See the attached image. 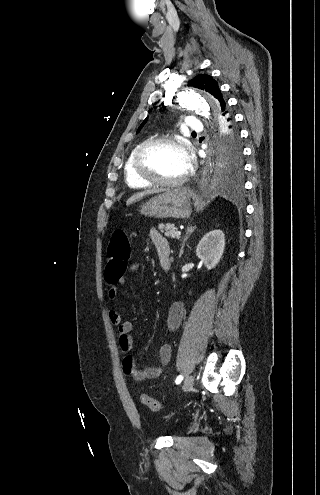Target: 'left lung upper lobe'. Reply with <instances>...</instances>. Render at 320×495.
<instances>
[{
  "label": "left lung upper lobe",
  "mask_w": 320,
  "mask_h": 495,
  "mask_svg": "<svg viewBox=\"0 0 320 495\" xmlns=\"http://www.w3.org/2000/svg\"><path fill=\"white\" fill-rule=\"evenodd\" d=\"M189 86L205 90L218 100L220 115L227 111V104L219 89L217 81L209 75L200 74L189 81ZM147 119L140 125L138 131ZM219 120L221 121L220 117ZM221 138L218 147V158L222 169L230 176H237L243 168L242 149L239 140V132L235 125L228 128L225 123L220 122Z\"/></svg>",
  "instance_id": "obj_1"
}]
</instances>
